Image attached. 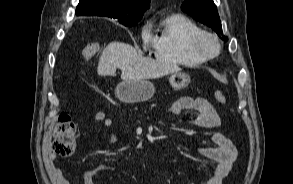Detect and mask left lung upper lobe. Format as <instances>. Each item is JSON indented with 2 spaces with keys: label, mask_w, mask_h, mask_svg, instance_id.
I'll list each match as a JSON object with an SVG mask.
<instances>
[{
  "label": "left lung upper lobe",
  "mask_w": 293,
  "mask_h": 184,
  "mask_svg": "<svg viewBox=\"0 0 293 184\" xmlns=\"http://www.w3.org/2000/svg\"><path fill=\"white\" fill-rule=\"evenodd\" d=\"M181 9L194 19L211 27L218 35L223 34L217 7L213 0H185ZM223 40L228 39L223 36Z\"/></svg>",
  "instance_id": "5c2ea615"
}]
</instances>
